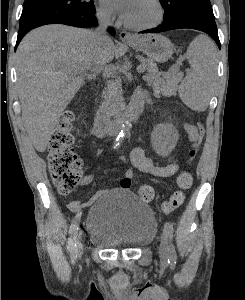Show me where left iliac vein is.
<instances>
[{
    "instance_id": "1",
    "label": "left iliac vein",
    "mask_w": 245,
    "mask_h": 300,
    "mask_svg": "<svg viewBox=\"0 0 245 300\" xmlns=\"http://www.w3.org/2000/svg\"><path fill=\"white\" fill-rule=\"evenodd\" d=\"M168 253H169L168 237L165 232H162L161 239H160V245H159V257H160L161 261H163V262L167 261Z\"/></svg>"
}]
</instances>
